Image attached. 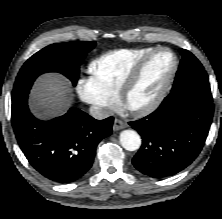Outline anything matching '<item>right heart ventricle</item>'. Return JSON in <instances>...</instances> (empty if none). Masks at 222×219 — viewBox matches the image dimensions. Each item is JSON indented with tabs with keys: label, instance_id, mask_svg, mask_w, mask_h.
<instances>
[{
	"label": "right heart ventricle",
	"instance_id": "1",
	"mask_svg": "<svg viewBox=\"0 0 222 219\" xmlns=\"http://www.w3.org/2000/svg\"><path fill=\"white\" fill-rule=\"evenodd\" d=\"M152 49L154 48L118 49L102 54L89 64V80L100 94L115 100L124 79L139 59Z\"/></svg>",
	"mask_w": 222,
	"mask_h": 219
}]
</instances>
